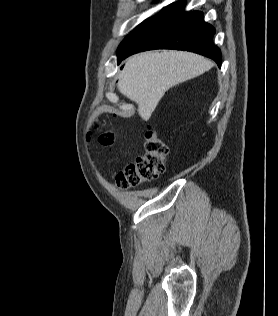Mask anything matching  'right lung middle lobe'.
<instances>
[{"instance_id":"right-lung-middle-lobe-1","label":"right lung middle lobe","mask_w":278,"mask_h":316,"mask_svg":"<svg viewBox=\"0 0 278 316\" xmlns=\"http://www.w3.org/2000/svg\"><path fill=\"white\" fill-rule=\"evenodd\" d=\"M165 8L166 7H164L156 16L146 19L139 26H137L120 44L118 48V55L133 46L141 38V36L153 25V23L157 20V18Z\"/></svg>"}]
</instances>
